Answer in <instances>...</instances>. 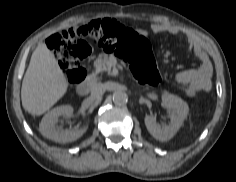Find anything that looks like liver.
Here are the masks:
<instances>
[{"label":"liver","instance_id":"6515ba94","mask_svg":"<svg viewBox=\"0 0 236 182\" xmlns=\"http://www.w3.org/2000/svg\"><path fill=\"white\" fill-rule=\"evenodd\" d=\"M68 81L54 54L40 42L23 78L22 106L32 115H42L67 92Z\"/></svg>","mask_w":236,"mask_h":182}]
</instances>
